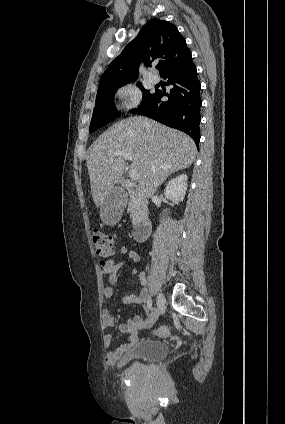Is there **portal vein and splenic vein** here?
<instances>
[{"instance_id":"obj_1","label":"portal vein and splenic vein","mask_w":285,"mask_h":424,"mask_svg":"<svg viewBox=\"0 0 285 424\" xmlns=\"http://www.w3.org/2000/svg\"><path fill=\"white\" fill-rule=\"evenodd\" d=\"M117 156H123L126 160L132 161V156L129 153L119 151V152H116L114 154V157H117ZM112 161H113V158H110L109 159V162H112ZM129 176H130V179L132 181H137L138 178H139V173H138V171L136 169H133L132 168L129 171Z\"/></svg>"}]
</instances>
